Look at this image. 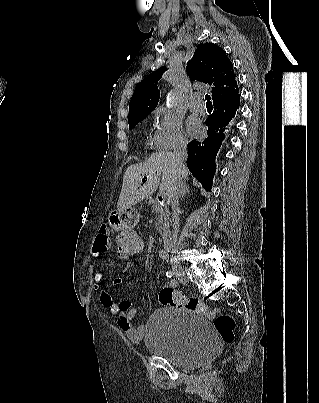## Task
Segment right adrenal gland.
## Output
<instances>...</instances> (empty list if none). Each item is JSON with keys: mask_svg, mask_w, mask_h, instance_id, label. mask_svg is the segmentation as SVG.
<instances>
[{"mask_svg": "<svg viewBox=\"0 0 319 403\" xmlns=\"http://www.w3.org/2000/svg\"><path fill=\"white\" fill-rule=\"evenodd\" d=\"M189 192V187L186 182H182L179 197L183 198L186 193Z\"/></svg>", "mask_w": 319, "mask_h": 403, "instance_id": "2a0ac1e0", "label": "right adrenal gland"}]
</instances>
